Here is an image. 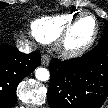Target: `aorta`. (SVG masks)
<instances>
[{
	"label": "aorta",
	"mask_w": 108,
	"mask_h": 108,
	"mask_svg": "<svg viewBox=\"0 0 108 108\" xmlns=\"http://www.w3.org/2000/svg\"><path fill=\"white\" fill-rule=\"evenodd\" d=\"M35 76L40 81L49 80L50 74L46 68L39 67L35 70Z\"/></svg>",
	"instance_id": "1"
}]
</instances>
